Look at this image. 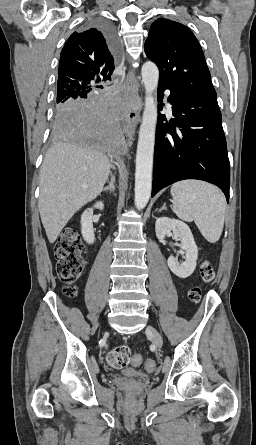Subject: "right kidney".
Listing matches in <instances>:
<instances>
[{
	"label": "right kidney",
	"mask_w": 256,
	"mask_h": 445,
	"mask_svg": "<svg viewBox=\"0 0 256 445\" xmlns=\"http://www.w3.org/2000/svg\"><path fill=\"white\" fill-rule=\"evenodd\" d=\"M94 208L103 210L104 204L103 202H97L94 205ZM93 208H89L85 210L81 216V233L84 240L88 244H93L95 241V235L93 230Z\"/></svg>",
	"instance_id": "obj_1"
}]
</instances>
